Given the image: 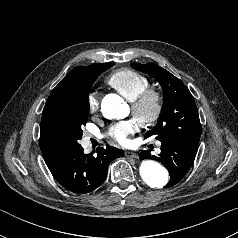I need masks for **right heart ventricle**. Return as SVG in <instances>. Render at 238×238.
Segmentation results:
<instances>
[{
  "mask_svg": "<svg viewBox=\"0 0 238 238\" xmlns=\"http://www.w3.org/2000/svg\"><path fill=\"white\" fill-rule=\"evenodd\" d=\"M106 82L130 101L149 87L148 78L131 69H119L112 72L107 76Z\"/></svg>",
  "mask_w": 238,
  "mask_h": 238,
  "instance_id": "obj_1",
  "label": "right heart ventricle"
}]
</instances>
